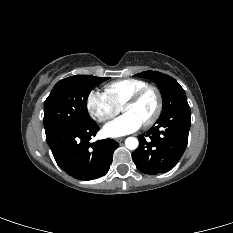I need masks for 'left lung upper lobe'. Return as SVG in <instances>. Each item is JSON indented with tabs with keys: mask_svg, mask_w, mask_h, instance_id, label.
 <instances>
[{
	"mask_svg": "<svg viewBox=\"0 0 233 233\" xmlns=\"http://www.w3.org/2000/svg\"><path fill=\"white\" fill-rule=\"evenodd\" d=\"M138 77L153 81L162 94L163 109L161 115L177 105L187 102L186 94L181 85L171 76L157 72L145 71L136 74Z\"/></svg>",
	"mask_w": 233,
	"mask_h": 233,
	"instance_id": "5c2ea615",
	"label": "left lung upper lobe"
}]
</instances>
